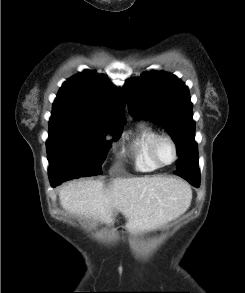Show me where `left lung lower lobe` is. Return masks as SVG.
<instances>
[{"label": "left lung lower lobe", "instance_id": "0a47b994", "mask_svg": "<svg viewBox=\"0 0 245 293\" xmlns=\"http://www.w3.org/2000/svg\"><path fill=\"white\" fill-rule=\"evenodd\" d=\"M175 174L187 180L194 187L198 188L200 186V175H193L183 172H175Z\"/></svg>", "mask_w": 245, "mask_h": 293}]
</instances>
